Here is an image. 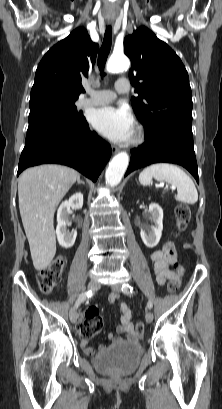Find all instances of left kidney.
<instances>
[{"mask_svg": "<svg viewBox=\"0 0 222 409\" xmlns=\"http://www.w3.org/2000/svg\"><path fill=\"white\" fill-rule=\"evenodd\" d=\"M149 218L153 221L154 225L150 227H143L140 235L143 243L149 247H155L161 238L163 230V210L157 203H151L149 205Z\"/></svg>", "mask_w": 222, "mask_h": 409, "instance_id": "obj_1", "label": "left kidney"}]
</instances>
